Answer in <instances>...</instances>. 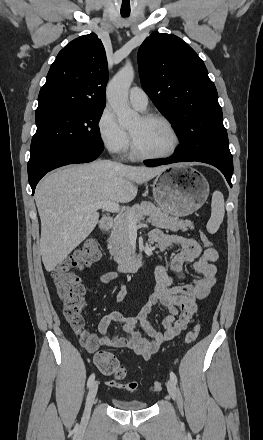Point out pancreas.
Listing matches in <instances>:
<instances>
[{"label":"pancreas","mask_w":263,"mask_h":440,"mask_svg":"<svg viewBox=\"0 0 263 440\" xmlns=\"http://www.w3.org/2000/svg\"><path fill=\"white\" fill-rule=\"evenodd\" d=\"M130 216L136 223L144 216H148L147 221L153 226L174 232L179 230L185 232L188 228L194 229L193 222L190 220H182L171 216L151 202L145 201L140 205L135 204L128 208L123 215L114 219L111 236L108 240L109 252L118 264H125L134 259L129 239Z\"/></svg>","instance_id":"obj_1"}]
</instances>
